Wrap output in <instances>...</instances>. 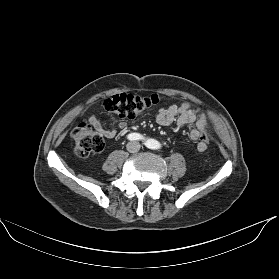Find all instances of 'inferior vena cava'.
<instances>
[{"label": "inferior vena cava", "instance_id": "1", "mask_svg": "<svg viewBox=\"0 0 279 279\" xmlns=\"http://www.w3.org/2000/svg\"><path fill=\"white\" fill-rule=\"evenodd\" d=\"M141 145L139 144V142L133 141V142H129L127 145V149L129 152L131 153H135L140 149Z\"/></svg>", "mask_w": 279, "mask_h": 279}]
</instances>
